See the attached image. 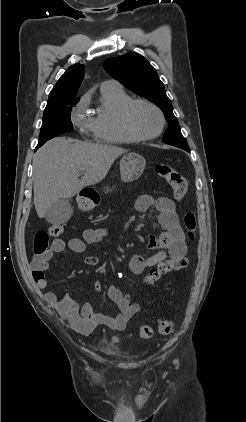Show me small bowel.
<instances>
[{"instance_id": "c3829d8e", "label": "small bowel", "mask_w": 246, "mask_h": 422, "mask_svg": "<svg viewBox=\"0 0 246 422\" xmlns=\"http://www.w3.org/2000/svg\"><path fill=\"white\" fill-rule=\"evenodd\" d=\"M135 208L138 212H146L155 208L158 212L157 221L163 232L158 236H151L148 239L147 247L156 250L151 255L136 254L132 256L129 262L131 271L140 275L147 269L157 266L166 260L186 258L187 244L184 231L182 230L179 217L176 212L173 200L168 197L154 198L151 195H140ZM108 235V231L103 228L86 229L81 237L72 238L66 243L62 239H54L49 250L42 256H35L32 261V269L39 270L41 277L34 279L39 289L47 288V281L44 271L48 269V262L55 253H62L68 247L75 253L85 251L87 245L95 244ZM87 266H96L99 264V258L87 256L83 260ZM103 287L101 281H95L92 289L100 291ZM108 296L116 304L119 312L115 315H104L97 312L94 307L85 303L80 306L70 295H65L62 299L51 291L44 293V299L53 306L58 313L66 318L72 329L81 334H90L96 327L105 325L112 330L122 331L126 328L129 320L140 311V304L132 302L129 294L113 285L108 287Z\"/></svg>"}]
</instances>
